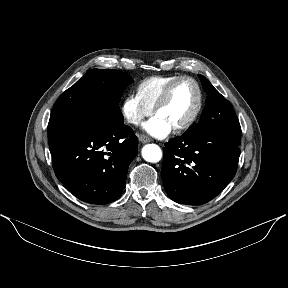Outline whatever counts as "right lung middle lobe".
<instances>
[{
    "label": "right lung middle lobe",
    "mask_w": 288,
    "mask_h": 288,
    "mask_svg": "<svg viewBox=\"0 0 288 288\" xmlns=\"http://www.w3.org/2000/svg\"><path fill=\"white\" fill-rule=\"evenodd\" d=\"M131 77L118 70L92 69L67 89L56 101L49 122L62 114L85 105L97 109L114 124L123 123L119 101Z\"/></svg>",
    "instance_id": "obj_1"
}]
</instances>
